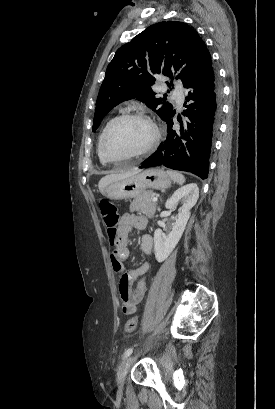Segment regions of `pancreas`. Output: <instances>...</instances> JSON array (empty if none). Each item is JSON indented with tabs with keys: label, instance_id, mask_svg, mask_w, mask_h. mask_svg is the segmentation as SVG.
Wrapping results in <instances>:
<instances>
[{
	"label": "pancreas",
	"instance_id": "cf45deb5",
	"mask_svg": "<svg viewBox=\"0 0 275 409\" xmlns=\"http://www.w3.org/2000/svg\"><path fill=\"white\" fill-rule=\"evenodd\" d=\"M153 196V190H144V192L135 196L130 205V213L140 211V213H143V215L152 219L156 211V202H153Z\"/></svg>",
	"mask_w": 275,
	"mask_h": 409
}]
</instances>
